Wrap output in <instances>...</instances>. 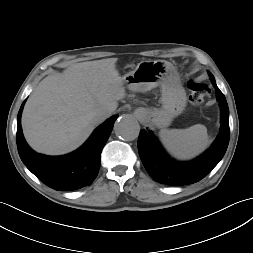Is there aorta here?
Here are the masks:
<instances>
[{"mask_svg": "<svg viewBox=\"0 0 253 253\" xmlns=\"http://www.w3.org/2000/svg\"><path fill=\"white\" fill-rule=\"evenodd\" d=\"M114 132L118 137L131 141L138 137L140 125L134 117L125 115L115 122Z\"/></svg>", "mask_w": 253, "mask_h": 253, "instance_id": "aorta-1", "label": "aorta"}]
</instances>
